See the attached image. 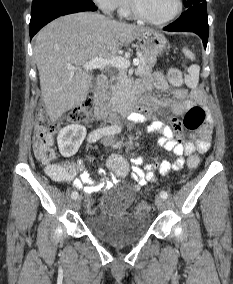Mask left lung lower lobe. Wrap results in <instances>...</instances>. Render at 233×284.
Returning a JSON list of instances; mask_svg holds the SVG:
<instances>
[{"instance_id": "obj_1", "label": "left lung lower lobe", "mask_w": 233, "mask_h": 284, "mask_svg": "<svg viewBox=\"0 0 233 284\" xmlns=\"http://www.w3.org/2000/svg\"><path fill=\"white\" fill-rule=\"evenodd\" d=\"M208 28L206 2H201L189 7L184 14H182L175 22L166 26L164 30L171 32H194L203 40V45L206 49L209 32Z\"/></svg>"}]
</instances>
